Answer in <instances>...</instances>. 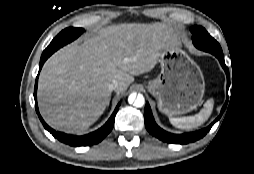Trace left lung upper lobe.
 <instances>
[{"label": "left lung upper lobe", "mask_w": 254, "mask_h": 174, "mask_svg": "<svg viewBox=\"0 0 254 174\" xmlns=\"http://www.w3.org/2000/svg\"><path fill=\"white\" fill-rule=\"evenodd\" d=\"M192 40L195 47L211 54H223L219 43L201 26H194L191 29Z\"/></svg>", "instance_id": "5c2ea615"}]
</instances>
